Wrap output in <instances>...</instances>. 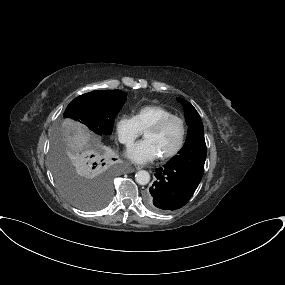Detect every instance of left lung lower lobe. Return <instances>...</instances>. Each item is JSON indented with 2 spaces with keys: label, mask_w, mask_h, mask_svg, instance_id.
I'll return each instance as SVG.
<instances>
[{
  "label": "left lung lower lobe",
  "mask_w": 285,
  "mask_h": 285,
  "mask_svg": "<svg viewBox=\"0 0 285 285\" xmlns=\"http://www.w3.org/2000/svg\"><path fill=\"white\" fill-rule=\"evenodd\" d=\"M152 184L145 196L146 205L153 211L166 213L183 207L198 187L202 176L189 170L166 164L157 168Z\"/></svg>",
  "instance_id": "1"
}]
</instances>
